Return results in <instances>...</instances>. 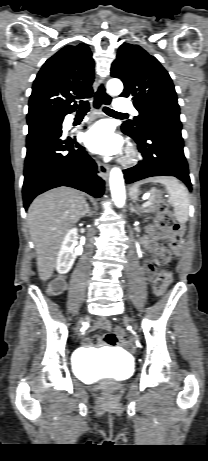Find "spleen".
<instances>
[{
    "instance_id": "spleen-1",
    "label": "spleen",
    "mask_w": 208,
    "mask_h": 461,
    "mask_svg": "<svg viewBox=\"0 0 208 461\" xmlns=\"http://www.w3.org/2000/svg\"><path fill=\"white\" fill-rule=\"evenodd\" d=\"M147 182L165 185L167 192L170 195L169 202L174 208V216L176 220L181 224L188 221L190 205L189 194L186 187L174 177L158 176L135 183L130 189V197L133 201L137 200L139 186Z\"/></svg>"
}]
</instances>
